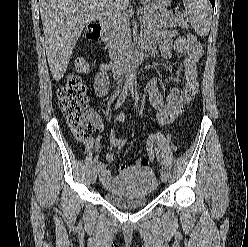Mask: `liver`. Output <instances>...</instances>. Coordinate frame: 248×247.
I'll return each instance as SVG.
<instances>
[{"mask_svg": "<svg viewBox=\"0 0 248 247\" xmlns=\"http://www.w3.org/2000/svg\"><path fill=\"white\" fill-rule=\"evenodd\" d=\"M39 5L50 72L59 81L84 28L104 13L126 10L129 0H40Z\"/></svg>", "mask_w": 248, "mask_h": 247, "instance_id": "obj_1", "label": "liver"}]
</instances>
